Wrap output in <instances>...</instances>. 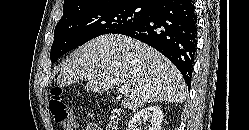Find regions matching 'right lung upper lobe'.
<instances>
[{
	"label": "right lung upper lobe",
	"mask_w": 249,
	"mask_h": 130,
	"mask_svg": "<svg viewBox=\"0 0 249 130\" xmlns=\"http://www.w3.org/2000/svg\"><path fill=\"white\" fill-rule=\"evenodd\" d=\"M110 0H64L63 12L77 10L85 6L106 2ZM142 3H149L151 7L157 4L160 0H134Z\"/></svg>",
	"instance_id": "obj_1"
}]
</instances>
